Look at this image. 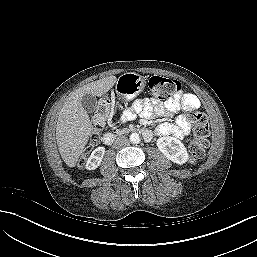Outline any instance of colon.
<instances>
[{
  "mask_svg": "<svg viewBox=\"0 0 257 257\" xmlns=\"http://www.w3.org/2000/svg\"><path fill=\"white\" fill-rule=\"evenodd\" d=\"M148 85L151 93L158 99L170 97L179 88L177 80L161 76H152ZM113 103V99L108 96L99 100L92 118L95 132L104 127L111 114ZM186 117L193 126L194 138L190 143V160L194 162L204 156L209 145V123L206 115L200 111L191 110Z\"/></svg>",
  "mask_w": 257,
  "mask_h": 257,
  "instance_id": "1",
  "label": "colon"
}]
</instances>
